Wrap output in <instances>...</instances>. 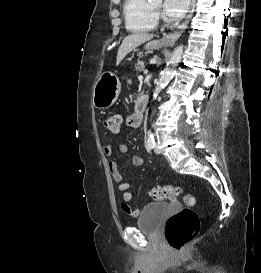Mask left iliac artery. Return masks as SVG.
<instances>
[{
    "label": "left iliac artery",
    "mask_w": 261,
    "mask_h": 273,
    "mask_svg": "<svg viewBox=\"0 0 261 273\" xmlns=\"http://www.w3.org/2000/svg\"><path fill=\"white\" fill-rule=\"evenodd\" d=\"M147 148L148 149H152L155 145V142H154V136L152 134L151 131H148V136H147Z\"/></svg>",
    "instance_id": "1"
}]
</instances>
